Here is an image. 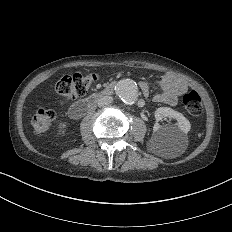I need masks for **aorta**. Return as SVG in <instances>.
I'll return each instance as SVG.
<instances>
[{
	"label": "aorta",
	"mask_w": 232,
	"mask_h": 232,
	"mask_svg": "<svg viewBox=\"0 0 232 232\" xmlns=\"http://www.w3.org/2000/svg\"><path fill=\"white\" fill-rule=\"evenodd\" d=\"M137 90L136 83L129 79L119 81L115 87L117 96L128 105H132L136 102Z\"/></svg>",
	"instance_id": "1"
}]
</instances>
